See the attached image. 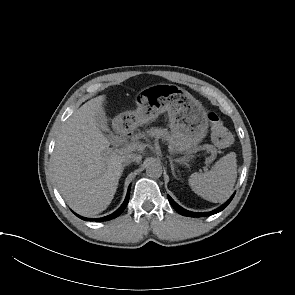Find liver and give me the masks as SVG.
I'll list each match as a JSON object with an SVG mask.
<instances>
[{
	"instance_id": "6515ba94",
	"label": "liver",
	"mask_w": 295,
	"mask_h": 295,
	"mask_svg": "<svg viewBox=\"0 0 295 295\" xmlns=\"http://www.w3.org/2000/svg\"><path fill=\"white\" fill-rule=\"evenodd\" d=\"M105 99L101 95L89 100L67 119L52 154L59 192L69 207L83 216L99 214L110 205L122 174L124 156L109 148L97 122Z\"/></svg>"
}]
</instances>
